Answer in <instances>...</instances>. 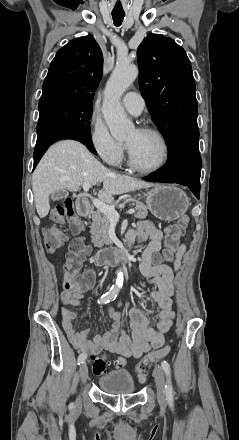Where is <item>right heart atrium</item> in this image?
I'll return each instance as SVG.
<instances>
[{"instance_id": "obj_1", "label": "right heart atrium", "mask_w": 239, "mask_h": 440, "mask_svg": "<svg viewBox=\"0 0 239 440\" xmlns=\"http://www.w3.org/2000/svg\"><path fill=\"white\" fill-rule=\"evenodd\" d=\"M89 139L101 159L109 165H119L125 153L124 143L116 140L105 123L93 116L90 121Z\"/></svg>"}]
</instances>
